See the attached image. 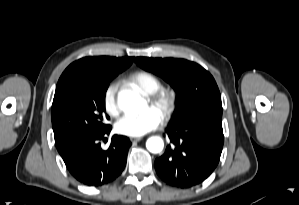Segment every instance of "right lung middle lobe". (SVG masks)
Returning a JSON list of instances; mask_svg holds the SVG:
<instances>
[{
	"mask_svg": "<svg viewBox=\"0 0 299 205\" xmlns=\"http://www.w3.org/2000/svg\"><path fill=\"white\" fill-rule=\"evenodd\" d=\"M116 75L72 77L52 105V126L57 150L70 141L107 129L103 123L105 94Z\"/></svg>",
	"mask_w": 299,
	"mask_h": 205,
	"instance_id": "1",
	"label": "right lung middle lobe"
}]
</instances>
